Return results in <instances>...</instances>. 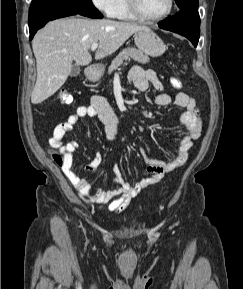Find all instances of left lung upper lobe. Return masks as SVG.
Returning <instances> with one entry per match:
<instances>
[{
    "mask_svg": "<svg viewBox=\"0 0 243 289\" xmlns=\"http://www.w3.org/2000/svg\"><path fill=\"white\" fill-rule=\"evenodd\" d=\"M180 9L198 7V0H175Z\"/></svg>",
    "mask_w": 243,
    "mask_h": 289,
    "instance_id": "1",
    "label": "left lung upper lobe"
}]
</instances>
